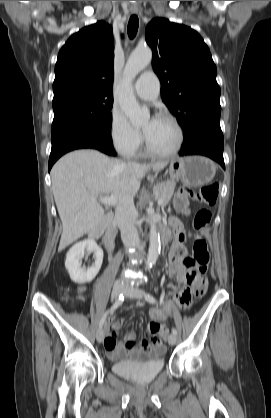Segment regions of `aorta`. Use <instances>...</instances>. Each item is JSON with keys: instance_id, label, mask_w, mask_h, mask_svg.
<instances>
[{"instance_id": "aorta-1", "label": "aorta", "mask_w": 271, "mask_h": 418, "mask_svg": "<svg viewBox=\"0 0 271 418\" xmlns=\"http://www.w3.org/2000/svg\"><path fill=\"white\" fill-rule=\"evenodd\" d=\"M152 51L149 48L134 50L125 66L124 77L119 89L118 102L120 108L133 125H142L150 118L147 108H142L133 93L132 82L134 78L151 62ZM148 214L150 209L147 210ZM161 249L160 236L155 223L150 225L149 250L146 267L154 265L159 257Z\"/></svg>"}]
</instances>
